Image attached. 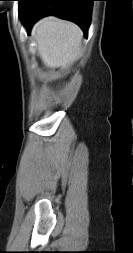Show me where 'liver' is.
Here are the masks:
<instances>
[{
	"mask_svg": "<svg viewBox=\"0 0 133 253\" xmlns=\"http://www.w3.org/2000/svg\"><path fill=\"white\" fill-rule=\"evenodd\" d=\"M32 36L45 67L60 68L61 75L76 61L83 33L76 24L50 16L34 25Z\"/></svg>",
	"mask_w": 133,
	"mask_h": 253,
	"instance_id": "liver-1",
	"label": "liver"
}]
</instances>
